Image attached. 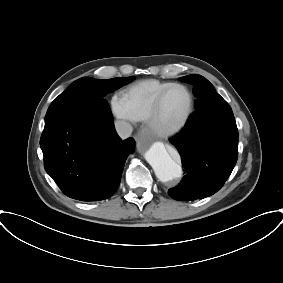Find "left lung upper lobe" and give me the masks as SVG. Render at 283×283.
Segmentation results:
<instances>
[{
  "label": "left lung upper lobe",
  "mask_w": 283,
  "mask_h": 283,
  "mask_svg": "<svg viewBox=\"0 0 283 283\" xmlns=\"http://www.w3.org/2000/svg\"><path fill=\"white\" fill-rule=\"evenodd\" d=\"M181 81L188 82L194 85L193 93L198 98L196 106H205L210 104L213 99L219 94L216 93L213 85L201 75H188L180 78ZM231 121L228 123L226 130L217 133L218 137L226 139H238V129L234 119L233 112L230 115Z\"/></svg>",
  "instance_id": "obj_1"
}]
</instances>
